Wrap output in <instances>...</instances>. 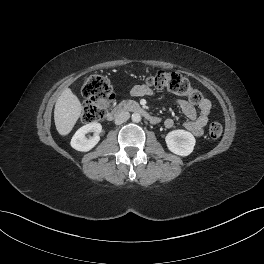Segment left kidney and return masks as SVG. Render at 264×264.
<instances>
[{"instance_id":"left-kidney-1","label":"left kidney","mask_w":264,"mask_h":264,"mask_svg":"<svg viewBox=\"0 0 264 264\" xmlns=\"http://www.w3.org/2000/svg\"><path fill=\"white\" fill-rule=\"evenodd\" d=\"M168 149L179 156H188L193 152L196 140L185 130H173L165 138Z\"/></svg>"}]
</instances>
